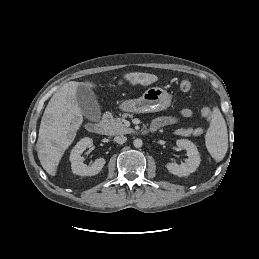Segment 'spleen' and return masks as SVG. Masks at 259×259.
Segmentation results:
<instances>
[{
  "mask_svg": "<svg viewBox=\"0 0 259 259\" xmlns=\"http://www.w3.org/2000/svg\"><path fill=\"white\" fill-rule=\"evenodd\" d=\"M205 142L210 155L217 162L221 161L228 149V134L225 120L218 107L213 109Z\"/></svg>",
  "mask_w": 259,
  "mask_h": 259,
  "instance_id": "1",
  "label": "spleen"
}]
</instances>
